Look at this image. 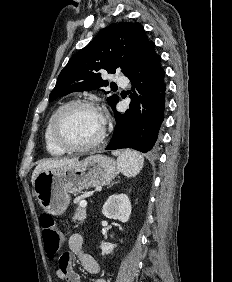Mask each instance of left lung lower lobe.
Segmentation results:
<instances>
[{
    "label": "left lung lower lobe",
    "mask_w": 232,
    "mask_h": 282,
    "mask_svg": "<svg viewBox=\"0 0 232 282\" xmlns=\"http://www.w3.org/2000/svg\"><path fill=\"white\" fill-rule=\"evenodd\" d=\"M150 42L137 65L126 75L132 82L129 109L120 114L112 107L116 126L106 150L132 148L143 153L157 145L158 133L164 119L165 71L161 57Z\"/></svg>",
    "instance_id": "1"
}]
</instances>
